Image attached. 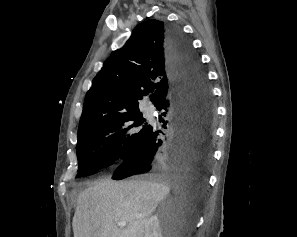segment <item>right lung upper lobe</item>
<instances>
[{"label":"right lung upper lobe","instance_id":"1","mask_svg":"<svg viewBox=\"0 0 297 237\" xmlns=\"http://www.w3.org/2000/svg\"><path fill=\"white\" fill-rule=\"evenodd\" d=\"M167 24L147 20L139 24L123 48L114 51L87 92L78 135L112 116L140 112L149 92L155 107L169 98L173 78L166 47Z\"/></svg>","mask_w":297,"mask_h":237}]
</instances>
